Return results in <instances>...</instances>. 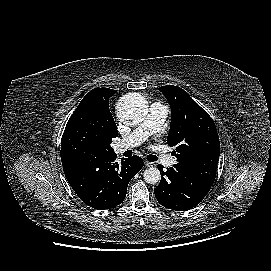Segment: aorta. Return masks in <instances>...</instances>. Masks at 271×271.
Returning <instances> with one entry per match:
<instances>
[{
    "instance_id": "aorta-1",
    "label": "aorta",
    "mask_w": 271,
    "mask_h": 271,
    "mask_svg": "<svg viewBox=\"0 0 271 271\" xmlns=\"http://www.w3.org/2000/svg\"><path fill=\"white\" fill-rule=\"evenodd\" d=\"M119 119L127 125H136L144 120L147 115L145 100L138 95H126L121 98L117 107ZM143 177L148 184H157L161 180L160 171L156 167L144 170Z\"/></svg>"
}]
</instances>
